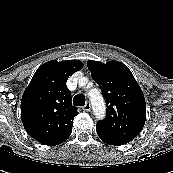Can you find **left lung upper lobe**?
<instances>
[{"instance_id": "1", "label": "left lung upper lobe", "mask_w": 173, "mask_h": 173, "mask_svg": "<svg viewBox=\"0 0 173 173\" xmlns=\"http://www.w3.org/2000/svg\"><path fill=\"white\" fill-rule=\"evenodd\" d=\"M92 78L105 98L106 118L96 128L122 140H133L143 129L146 103L131 71L123 63L88 61Z\"/></svg>"}]
</instances>
